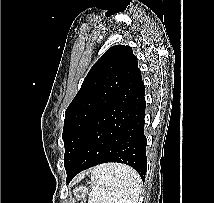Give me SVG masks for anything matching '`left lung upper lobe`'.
I'll list each match as a JSON object with an SVG mask.
<instances>
[{
  "instance_id": "5c2ea615",
  "label": "left lung upper lobe",
  "mask_w": 214,
  "mask_h": 203,
  "mask_svg": "<svg viewBox=\"0 0 214 203\" xmlns=\"http://www.w3.org/2000/svg\"><path fill=\"white\" fill-rule=\"evenodd\" d=\"M138 69L131 47L115 45L92 66L65 112L64 165L73 161L89 127Z\"/></svg>"
}]
</instances>
